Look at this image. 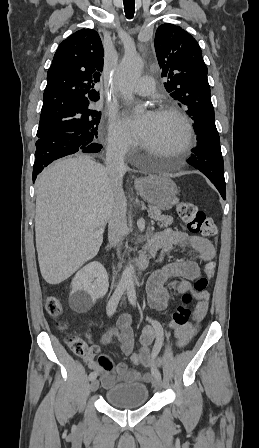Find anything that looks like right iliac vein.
<instances>
[{"label": "right iliac vein", "mask_w": 259, "mask_h": 448, "mask_svg": "<svg viewBox=\"0 0 259 448\" xmlns=\"http://www.w3.org/2000/svg\"><path fill=\"white\" fill-rule=\"evenodd\" d=\"M99 387V381L97 379L92 380L90 384V390L91 392H95Z\"/></svg>", "instance_id": "right-iliac-vein-1"}]
</instances>
